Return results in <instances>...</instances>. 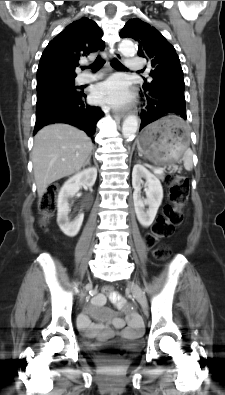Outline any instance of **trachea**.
Listing matches in <instances>:
<instances>
[{"label":"trachea","mask_w":225,"mask_h":395,"mask_svg":"<svg viewBox=\"0 0 225 395\" xmlns=\"http://www.w3.org/2000/svg\"><path fill=\"white\" fill-rule=\"evenodd\" d=\"M105 61L98 56L96 58V60L94 61V63L90 66V68L95 72L97 70H99L103 65H104ZM112 66L113 68L117 69V70H125L126 68L117 60V59H113L112 60ZM85 67H82V69H84Z\"/></svg>","instance_id":"3493384b"}]
</instances>
